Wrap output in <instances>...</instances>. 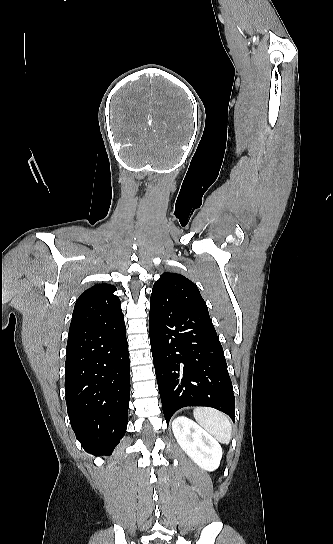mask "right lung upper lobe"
I'll return each mask as SVG.
<instances>
[{
    "label": "right lung upper lobe",
    "mask_w": 333,
    "mask_h": 544,
    "mask_svg": "<svg viewBox=\"0 0 333 544\" xmlns=\"http://www.w3.org/2000/svg\"><path fill=\"white\" fill-rule=\"evenodd\" d=\"M115 291V286L102 283L83 292L76 301L70 331L121 313V302L113 294Z\"/></svg>",
    "instance_id": "right-lung-upper-lobe-1"
}]
</instances>
